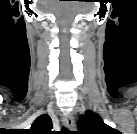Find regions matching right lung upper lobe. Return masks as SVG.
Wrapping results in <instances>:
<instances>
[{
  "instance_id": "cb5924a9",
  "label": "right lung upper lobe",
  "mask_w": 137,
  "mask_h": 134,
  "mask_svg": "<svg viewBox=\"0 0 137 134\" xmlns=\"http://www.w3.org/2000/svg\"><path fill=\"white\" fill-rule=\"evenodd\" d=\"M52 120L47 114L36 118L31 128L26 130L27 134H52Z\"/></svg>"
}]
</instances>
